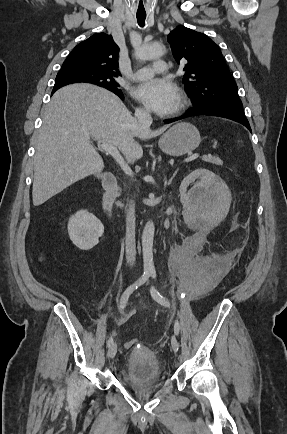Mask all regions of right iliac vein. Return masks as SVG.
Segmentation results:
<instances>
[{
    "mask_svg": "<svg viewBox=\"0 0 287 434\" xmlns=\"http://www.w3.org/2000/svg\"><path fill=\"white\" fill-rule=\"evenodd\" d=\"M116 352H117V345L112 344L111 347L109 348L108 352H107V357L109 359H113L116 355Z\"/></svg>",
    "mask_w": 287,
    "mask_h": 434,
    "instance_id": "obj_1",
    "label": "right iliac vein"
}]
</instances>
